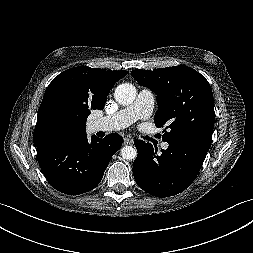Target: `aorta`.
<instances>
[{
    "label": "aorta",
    "instance_id": "1",
    "mask_svg": "<svg viewBox=\"0 0 253 253\" xmlns=\"http://www.w3.org/2000/svg\"><path fill=\"white\" fill-rule=\"evenodd\" d=\"M137 95L136 88L129 83H123L115 88L114 98L121 105L131 104ZM121 156L125 160H134L137 157V151L132 146H124L121 149Z\"/></svg>",
    "mask_w": 253,
    "mask_h": 253
}]
</instances>
